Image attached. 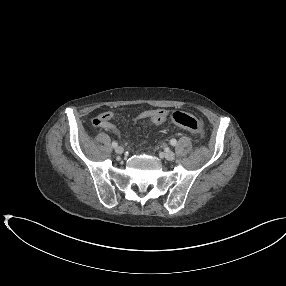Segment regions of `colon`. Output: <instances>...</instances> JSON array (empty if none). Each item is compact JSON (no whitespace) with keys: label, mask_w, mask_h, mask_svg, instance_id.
Segmentation results:
<instances>
[{"label":"colon","mask_w":286,"mask_h":286,"mask_svg":"<svg viewBox=\"0 0 286 286\" xmlns=\"http://www.w3.org/2000/svg\"><path fill=\"white\" fill-rule=\"evenodd\" d=\"M171 119L174 124L192 132L195 135H200L202 133L201 122L190 114L176 111L172 114Z\"/></svg>","instance_id":"obj_1"}]
</instances>
